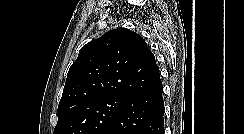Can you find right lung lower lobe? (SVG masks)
<instances>
[{
    "mask_svg": "<svg viewBox=\"0 0 244 134\" xmlns=\"http://www.w3.org/2000/svg\"><path fill=\"white\" fill-rule=\"evenodd\" d=\"M162 82L133 95L101 134H163Z\"/></svg>",
    "mask_w": 244,
    "mask_h": 134,
    "instance_id": "1",
    "label": "right lung lower lobe"
}]
</instances>
